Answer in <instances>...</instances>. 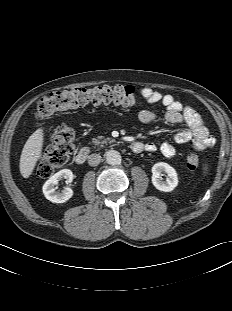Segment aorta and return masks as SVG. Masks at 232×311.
I'll return each mask as SVG.
<instances>
[{
  "label": "aorta",
  "mask_w": 232,
  "mask_h": 311,
  "mask_svg": "<svg viewBox=\"0 0 232 311\" xmlns=\"http://www.w3.org/2000/svg\"><path fill=\"white\" fill-rule=\"evenodd\" d=\"M106 162L110 165H117L121 163V155L116 150H108L105 153Z\"/></svg>",
  "instance_id": "aorta-1"
}]
</instances>
